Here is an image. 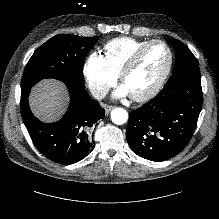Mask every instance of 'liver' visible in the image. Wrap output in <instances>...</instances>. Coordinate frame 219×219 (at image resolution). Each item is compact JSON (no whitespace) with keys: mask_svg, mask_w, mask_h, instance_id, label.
<instances>
[{"mask_svg":"<svg viewBox=\"0 0 219 219\" xmlns=\"http://www.w3.org/2000/svg\"><path fill=\"white\" fill-rule=\"evenodd\" d=\"M29 101L33 113L40 120L54 121L65 110L67 91L64 84L56 80H43L33 88Z\"/></svg>","mask_w":219,"mask_h":219,"instance_id":"obj_1","label":"liver"}]
</instances>
